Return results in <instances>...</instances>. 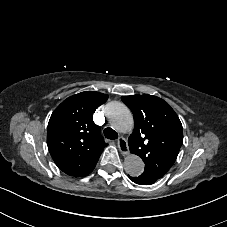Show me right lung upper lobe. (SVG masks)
I'll return each mask as SVG.
<instances>
[{
    "label": "right lung upper lobe",
    "instance_id": "1",
    "mask_svg": "<svg viewBox=\"0 0 227 227\" xmlns=\"http://www.w3.org/2000/svg\"><path fill=\"white\" fill-rule=\"evenodd\" d=\"M107 94L85 91L64 100L48 123L47 145L57 167L70 176L88 175L107 146L93 113Z\"/></svg>",
    "mask_w": 227,
    "mask_h": 227
}]
</instances>
